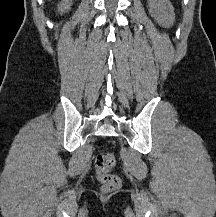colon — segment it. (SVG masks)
<instances>
[{
  "label": "colon",
  "instance_id": "5ec220e1",
  "mask_svg": "<svg viewBox=\"0 0 216 217\" xmlns=\"http://www.w3.org/2000/svg\"><path fill=\"white\" fill-rule=\"evenodd\" d=\"M115 165L116 159L111 151H102L96 157L95 171L103 193H111L121 185L120 177L110 173Z\"/></svg>",
  "mask_w": 216,
  "mask_h": 217
}]
</instances>
